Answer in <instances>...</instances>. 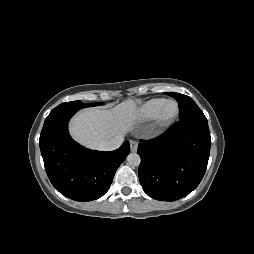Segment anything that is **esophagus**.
Masks as SVG:
<instances>
[{"label": "esophagus", "instance_id": "1", "mask_svg": "<svg viewBox=\"0 0 254 254\" xmlns=\"http://www.w3.org/2000/svg\"><path fill=\"white\" fill-rule=\"evenodd\" d=\"M130 148H131V151H132V152H136V151H137V148H138L137 142L134 141V140H131V141H130Z\"/></svg>", "mask_w": 254, "mask_h": 254}]
</instances>
